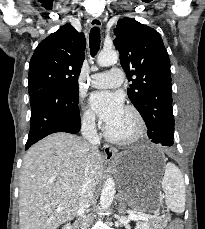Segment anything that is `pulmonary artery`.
Returning a JSON list of instances; mask_svg holds the SVG:
<instances>
[{"label":"pulmonary artery","mask_w":205,"mask_h":229,"mask_svg":"<svg viewBox=\"0 0 205 229\" xmlns=\"http://www.w3.org/2000/svg\"><path fill=\"white\" fill-rule=\"evenodd\" d=\"M124 72L122 69L114 67L105 73H95L89 78L90 85L95 88H108L119 86L123 83Z\"/></svg>","instance_id":"obj_1"}]
</instances>
